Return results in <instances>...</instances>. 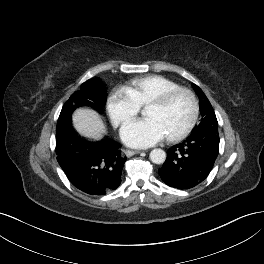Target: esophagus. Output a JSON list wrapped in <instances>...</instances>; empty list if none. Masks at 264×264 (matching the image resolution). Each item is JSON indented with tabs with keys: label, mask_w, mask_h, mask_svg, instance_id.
I'll list each match as a JSON object with an SVG mask.
<instances>
[{
	"label": "esophagus",
	"mask_w": 264,
	"mask_h": 264,
	"mask_svg": "<svg viewBox=\"0 0 264 264\" xmlns=\"http://www.w3.org/2000/svg\"><path fill=\"white\" fill-rule=\"evenodd\" d=\"M139 153H141V151L139 150H127L126 151L127 156H132V155L139 154Z\"/></svg>",
	"instance_id": "34e87169"
}]
</instances>
